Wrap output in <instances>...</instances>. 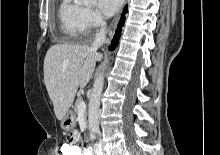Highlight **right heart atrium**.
Masks as SVG:
<instances>
[{"label":"right heart atrium","instance_id":"obj_1","mask_svg":"<svg viewBox=\"0 0 220 155\" xmlns=\"http://www.w3.org/2000/svg\"><path fill=\"white\" fill-rule=\"evenodd\" d=\"M84 31L91 33L92 31L101 28L104 25V19L95 10L86 8L83 16Z\"/></svg>","mask_w":220,"mask_h":155}]
</instances>
